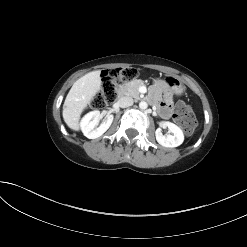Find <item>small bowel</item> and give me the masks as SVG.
Here are the masks:
<instances>
[{
	"instance_id": "1",
	"label": "small bowel",
	"mask_w": 247,
	"mask_h": 247,
	"mask_svg": "<svg viewBox=\"0 0 247 247\" xmlns=\"http://www.w3.org/2000/svg\"><path fill=\"white\" fill-rule=\"evenodd\" d=\"M149 99L152 103L159 106L163 117L168 118L171 116L173 98L172 94L166 90V85L164 82L158 81L154 84Z\"/></svg>"
}]
</instances>
